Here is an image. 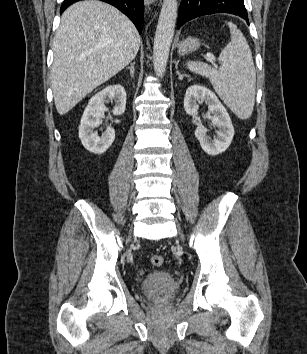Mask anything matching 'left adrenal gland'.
<instances>
[{"mask_svg": "<svg viewBox=\"0 0 307 354\" xmlns=\"http://www.w3.org/2000/svg\"><path fill=\"white\" fill-rule=\"evenodd\" d=\"M178 77H179V80L182 81L184 77H189L188 75L186 74H181L178 70L176 71Z\"/></svg>", "mask_w": 307, "mask_h": 354, "instance_id": "obj_1", "label": "left adrenal gland"}]
</instances>
